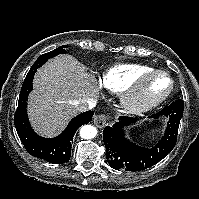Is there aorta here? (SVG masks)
<instances>
[{
    "label": "aorta",
    "mask_w": 199,
    "mask_h": 199,
    "mask_svg": "<svg viewBox=\"0 0 199 199\" xmlns=\"http://www.w3.org/2000/svg\"><path fill=\"white\" fill-rule=\"evenodd\" d=\"M97 135V129L92 125H84L80 129V136L84 139H92Z\"/></svg>",
    "instance_id": "762f6f07"
}]
</instances>
